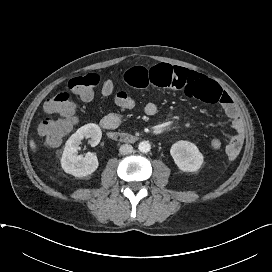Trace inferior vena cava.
Returning a JSON list of instances; mask_svg holds the SVG:
<instances>
[{
	"mask_svg": "<svg viewBox=\"0 0 272 272\" xmlns=\"http://www.w3.org/2000/svg\"><path fill=\"white\" fill-rule=\"evenodd\" d=\"M119 152L122 155H127L133 152V147L129 144H123L120 146Z\"/></svg>",
	"mask_w": 272,
	"mask_h": 272,
	"instance_id": "602c4592",
	"label": "inferior vena cava"
}]
</instances>
